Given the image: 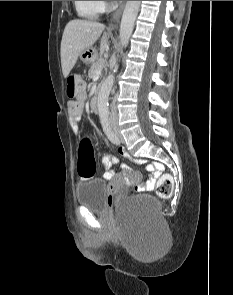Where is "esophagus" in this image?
Wrapping results in <instances>:
<instances>
[{"label": "esophagus", "instance_id": "34e87169", "mask_svg": "<svg viewBox=\"0 0 233 295\" xmlns=\"http://www.w3.org/2000/svg\"><path fill=\"white\" fill-rule=\"evenodd\" d=\"M125 4H126V1H121L118 9L112 15V22L109 24V27H108L109 30H114L116 28V25L119 22L121 14L124 10Z\"/></svg>", "mask_w": 233, "mask_h": 295}]
</instances>
